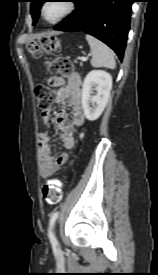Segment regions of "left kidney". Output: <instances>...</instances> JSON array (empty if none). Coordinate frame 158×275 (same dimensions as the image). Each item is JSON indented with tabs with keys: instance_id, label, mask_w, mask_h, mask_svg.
Listing matches in <instances>:
<instances>
[{
	"instance_id": "obj_1",
	"label": "left kidney",
	"mask_w": 158,
	"mask_h": 275,
	"mask_svg": "<svg viewBox=\"0 0 158 275\" xmlns=\"http://www.w3.org/2000/svg\"><path fill=\"white\" fill-rule=\"evenodd\" d=\"M111 89L112 77L108 72L92 70L86 75L82 85V107L89 121L100 117L108 103Z\"/></svg>"
}]
</instances>
